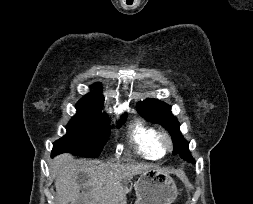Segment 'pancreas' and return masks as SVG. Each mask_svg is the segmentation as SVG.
<instances>
[{"instance_id": "cf45deb5", "label": "pancreas", "mask_w": 253, "mask_h": 204, "mask_svg": "<svg viewBox=\"0 0 253 204\" xmlns=\"http://www.w3.org/2000/svg\"><path fill=\"white\" fill-rule=\"evenodd\" d=\"M130 190L129 189H126V192H129Z\"/></svg>"}]
</instances>
